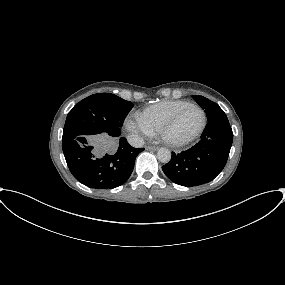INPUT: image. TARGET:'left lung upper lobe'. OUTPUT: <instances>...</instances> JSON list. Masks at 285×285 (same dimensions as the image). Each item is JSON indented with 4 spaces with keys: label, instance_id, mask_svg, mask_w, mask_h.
Returning a JSON list of instances; mask_svg holds the SVG:
<instances>
[{
    "label": "left lung upper lobe",
    "instance_id": "5c2ea615",
    "mask_svg": "<svg viewBox=\"0 0 285 285\" xmlns=\"http://www.w3.org/2000/svg\"><path fill=\"white\" fill-rule=\"evenodd\" d=\"M193 99L205 110L207 120L226 116L219 105L215 102L199 95H194Z\"/></svg>",
    "mask_w": 285,
    "mask_h": 285
}]
</instances>
